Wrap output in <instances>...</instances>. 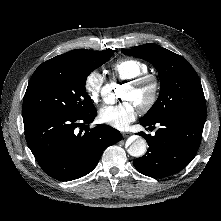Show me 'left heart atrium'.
Listing matches in <instances>:
<instances>
[{"instance_id":"1","label":"left heart atrium","mask_w":221,"mask_h":221,"mask_svg":"<svg viewBox=\"0 0 221 221\" xmlns=\"http://www.w3.org/2000/svg\"><path fill=\"white\" fill-rule=\"evenodd\" d=\"M137 115L136 104L125 100L114 105H107L100 109L98 117L102 123L123 130Z\"/></svg>"}]
</instances>
